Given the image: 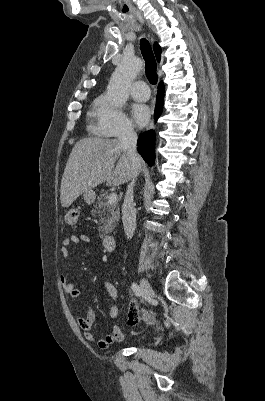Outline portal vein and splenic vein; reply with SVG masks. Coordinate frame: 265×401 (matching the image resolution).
I'll use <instances>...</instances> for the list:
<instances>
[{
	"mask_svg": "<svg viewBox=\"0 0 265 401\" xmlns=\"http://www.w3.org/2000/svg\"><path fill=\"white\" fill-rule=\"evenodd\" d=\"M117 198L116 192H112V194H109L108 196V203H115Z\"/></svg>",
	"mask_w": 265,
	"mask_h": 401,
	"instance_id": "portal-vein-and-splenic-vein-1",
	"label": "portal vein and splenic vein"
}]
</instances>
